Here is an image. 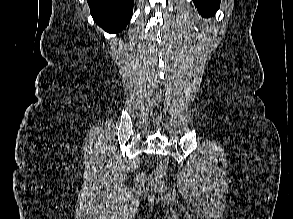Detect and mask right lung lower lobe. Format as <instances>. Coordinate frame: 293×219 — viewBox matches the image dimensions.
<instances>
[{"instance_id":"1","label":"right lung lower lobe","mask_w":293,"mask_h":219,"mask_svg":"<svg viewBox=\"0 0 293 219\" xmlns=\"http://www.w3.org/2000/svg\"><path fill=\"white\" fill-rule=\"evenodd\" d=\"M94 21L109 33L122 30L130 21L133 0H87Z\"/></svg>"}]
</instances>
